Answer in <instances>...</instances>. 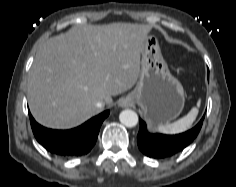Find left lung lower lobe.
Instances as JSON below:
<instances>
[{
	"label": "left lung lower lobe",
	"instance_id": "1",
	"mask_svg": "<svg viewBox=\"0 0 236 187\" xmlns=\"http://www.w3.org/2000/svg\"><path fill=\"white\" fill-rule=\"evenodd\" d=\"M204 116L199 123L182 134L163 135L151 134L147 131L144 121L139 119L140 129L137 135V143L140 151L150 158H166L175 155L188 146L198 135Z\"/></svg>",
	"mask_w": 236,
	"mask_h": 187
}]
</instances>
